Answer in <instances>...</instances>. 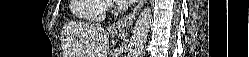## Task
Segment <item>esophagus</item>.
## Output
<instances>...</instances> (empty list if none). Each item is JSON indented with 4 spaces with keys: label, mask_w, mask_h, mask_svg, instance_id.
<instances>
[{
    "label": "esophagus",
    "mask_w": 249,
    "mask_h": 57,
    "mask_svg": "<svg viewBox=\"0 0 249 57\" xmlns=\"http://www.w3.org/2000/svg\"><path fill=\"white\" fill-rule=\"evenodd\" d=\"M145 2L146 0H140L137 6L130 13H128L125 17L121 18L116 23L112 24L110 30L113 32H121L129 29L132 26L135 18L141 11Z\"/></svg>",
    "instance_id": "obj_1"
}]
</instances>
